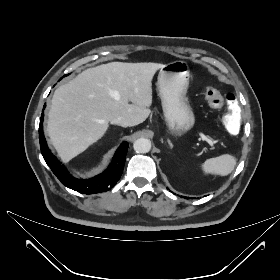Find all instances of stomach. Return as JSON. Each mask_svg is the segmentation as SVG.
Listing matches in <instances>:
<instances>
[{"label": "stomach", "mask_w": 280, "mask_h": 280, "mask_svg": "<svg viewBox=\"0 0 280 280\" xmlns=\"http://www.w3.org/2000/svg\"><path fill=\"white\" fill-rule=\"evenodd\" d=\"M189 78V66L185 61L164 65L158 75L157 88L165 121L169 130L178 136L192 129L195 123L194 113L186 97Z\"/></svg>", "instance_id": "obj_1"}]
</instances>
